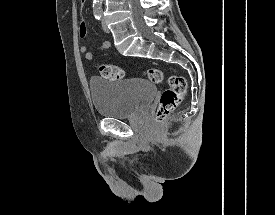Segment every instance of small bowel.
Segmentation results:
<instances>
[{
  "mask_svg": "<svg viewBox=\"0 0 275 215\" xmlns=\"http://www.w3.org/2000/svg\"><path fill=\"white\" fill-rule=\"evenodd\" d=\"M87 34H88L87 24L85 21H82L78 26V36L79 38L84 39L86 38ZM110 46H111V43L109 41H104L100 45L99 49L101 51H105L109 49ZM79 52L86 60H92L95 57V52L89 50L86 46H81L79 48Z\"/></svg>",
  "mask_w": 275,
  "mask_h": 215,
  "instance_id": "1",
  "label": "small bowel"
}]
</instances>
